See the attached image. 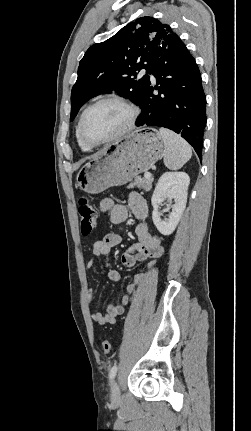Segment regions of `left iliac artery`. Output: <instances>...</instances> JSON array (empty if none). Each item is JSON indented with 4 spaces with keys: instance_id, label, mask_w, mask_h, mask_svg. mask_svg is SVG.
<instances>
[{
    "instance_id": "left-iliac-artery-1",
    "label": "left iliac artery",
    "mask_w": 251,
    "mask_h": 431,
    "mask_svg": "<svg viewBox=\"0 0 251 431\" xmlns=\"http://www.w3.org/2000/svg\"><path fill=\"white\" fill-rule=\"evenodd\" d=\"M117 370H118V366L115 364V365L111 368L110 373H109V379H110V382L115 378L116 373H117Z\"/></svg>"
}]
</instances>
